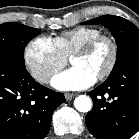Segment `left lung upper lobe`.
I'll return each instance as SVG.
<instances>
[{
    "mask_svg": "<svg viewBox=\"0 0 139 139\" xmlns=\"http://www.w3.org/2000/svg\"><path fill=\"white\" fill-rule=\"evenodd\" d=\"M82 24H101L112 32L118 46L117 59L112 72L131 57L139 55V29L130 21L119 16L104 15Z\"/></svg>",
    "mask_w": 139,
    "mask_h": 139,
    "instance_id": "left-lung-upper-lobe-1",
    "label": "left lung upper lobe"
}]
</instances>
